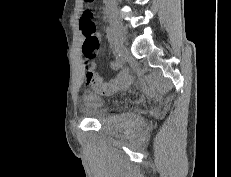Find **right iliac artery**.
<instances>
[{
  "label": "right iliac artery",
  "mask_w": 231,
  "mask_h": 177,
  "mask_svg": "<svg viewBox=\"0 0 231 177\" xmlns=\"http://www.w3.org/2000/svg\"><path fill=\"white\" fill-rule=\"evenodd\" d=\"M106 33H107V38H108V41L110 43V46L114 47V45H115V34H114V31H113L112 27L107 26L106 27Z\"/></svg>",
  "instance_id": "1"
}]
</instances>
